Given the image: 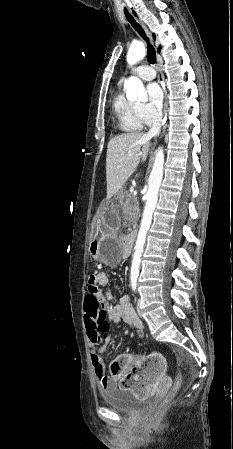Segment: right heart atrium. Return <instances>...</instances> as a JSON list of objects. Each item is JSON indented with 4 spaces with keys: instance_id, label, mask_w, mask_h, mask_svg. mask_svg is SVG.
<instances>
[{
    "instance_id": "obj_1",
    "label": "right heart atrium",
    "mask_w": 233,
    "mask_h": 449,
    "mask_svg": "<svg viewBox=\"0 0 233 449\" xmlns=\"http://www.w3.org/2000/svg\"><path fill=\"white\" fill-rule=\"evenodd\" d=\"M137 110L139 117L146 125L156 123L161 117L159 109L150 103L138 104Z\"/></svg>"
}]
</instances>
